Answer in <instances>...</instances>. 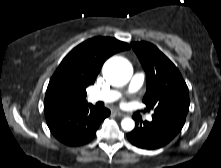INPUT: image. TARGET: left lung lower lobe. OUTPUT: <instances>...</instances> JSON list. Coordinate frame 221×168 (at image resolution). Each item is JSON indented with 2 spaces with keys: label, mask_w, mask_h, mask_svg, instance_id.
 <instances>
[{
  "label": "left lung lower lobe",
  "mask_w": 221,
  "mask_h": 168,
  "mask_svg": "<svg viewBox=\"0 0 221 168\" xmlns=\"http://www.w3.org/2000/svg\"><path fill=\"white\" fill-rule=\"evenodd\" d=\"M135 121V129L127 134V138L133 145L142 149L152 150L163 147L182 129L173 123L159 119L143 123H139L138 119Z\"/></svg>",
  "instance_id": "1"
}]
</instances>
